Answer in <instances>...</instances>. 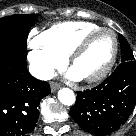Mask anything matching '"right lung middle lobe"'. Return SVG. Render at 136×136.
I'll use <instances>...</instances> for the list:
<instances>
[{"instance_id": "1", "label": "right lung middle lobe", "mask_w": 136, "mask_h": 136, "mask_svg": "<svg viewBox=\"0 0 136 136\" xmlns=\"http://www.w3.org/2000/svg\"><path fill=\"white\" fill-rule=\"evenodd\" d=\"M38 14L12 15L0 19V57L8 56L26 60L28 30Z\"/></svg>"}]
</instances>
